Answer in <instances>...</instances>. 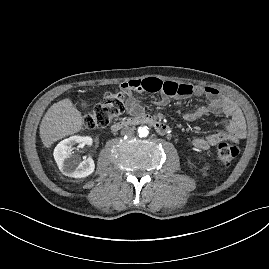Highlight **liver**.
I'll return each mask as SVG.
<instances>
[{"label":"liver","instance_id":"obj_1","mask_svg":"<svg viewBox=\"0 0 269 269\" xmlns=\"http://www.w3.org/2000/svg\"><path fill=\"white\" fill-rule=\"evenodd\" d=\"M83 126V117L71 99L65 98L54 103L44 115L40 124V138L44 146L79 132Z\"/></svg>","mask_w":269,"mask_h":269}]
</instances>
